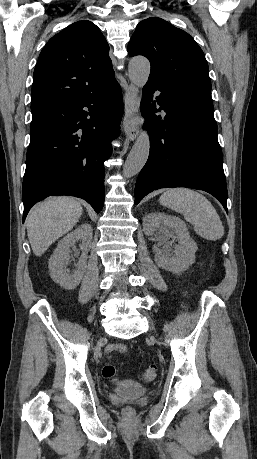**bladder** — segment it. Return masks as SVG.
<instances>
[{
  "mask_svg": "<svg viewBox=\"0 0 257 459\" xmlns=\"http://www.w3.org/2000/svg\"><path fill=\"white\" fill-rule=\"evenodd\" d=\"M115 393L121 396L134 398L145 395L147 393V388L136 382L124 381L116 387Z\"/></svg>",
  "mask_w": 257,
  "mask_h": 459,
  "instance_id": "obj_1",
  "label": "bladder"
}]
</instances>
